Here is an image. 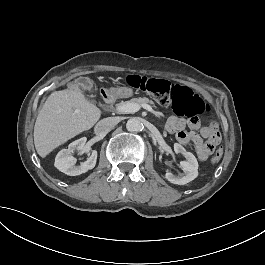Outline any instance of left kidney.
I'll use <instances>...</instances> for the list:
<instances>
[{"label":"left kidney","instance_id":"1","mask_svg":"<svg viewBox=\"0 0 265 265\" xmlns=\"http://www.w3.org/2000/svg\"><path fill=\"white\" fill-rule=\"evenodd\" d=\"M174 151L175 153H181L186 158V161L180 162V167L183 169L184 175L175 176L168 172L165 177L173 184L184 185L198 176V162L191 152H187L185 148L178 143L174 144Z\"/></svg>","mask_w":265,"mask_h":265}]
</instances>
